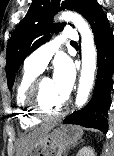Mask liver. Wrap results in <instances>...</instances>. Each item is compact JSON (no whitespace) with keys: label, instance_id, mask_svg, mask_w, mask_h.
<instances>
[{"label":"liver","instance_id":"1","mask_svg":"<svg viewBox=\"0 0 114 156\" xmlns=\"http://www.w3.org/2000/svg\"><path fill=\"white\" fill-rule=\"evenodd\" d=\"M51 127L52 125L50 124H43L40 127L35 128L28 134L20 137L17 142L16 156H28L30 151L46 135Z\"/></svg>","mask_w":114,"mask_h":156}]
</instances>
